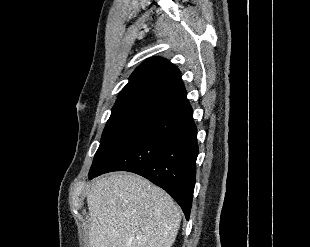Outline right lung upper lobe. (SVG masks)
<instances>
[{
	"instance_id": "1",
	"label": "right lung upper lobe",
	"mask_w": 310,
	"mask_h": 247,
	"mask_svg": "<svg viewBox=\"0 0 310 247\" xmlns=\"http://www.w3.org/2000/svg\"><path fill=\"white\" fill-rule=\"evenodd\" d=\"M184 99L186 91L177 67L164 58L152 57L132 73L112 111L149 107L161 112Z\"/></svg>"
}]
</instances>
